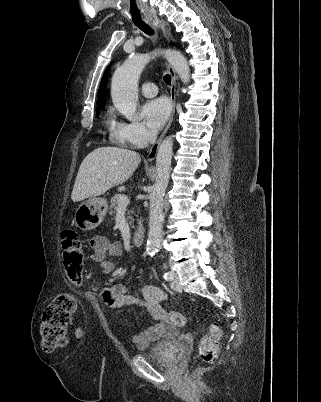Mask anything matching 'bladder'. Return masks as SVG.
Segmentation results:
<instances>
[{
	"instance_id": "bladder-1",
	"label": "bladder",
	"mask_w": 321,
	"mask_h": 402,
	"mask_svg": "<svg viewBox=\"0 0 321 402\" xmlns=\"http://www.w3.org/2000/svg\"><path fill=\"white\" fill-rule=\"evenodd\" d=\"M179 336L175 335L171 340H165L157 343L148 351H143L140 356L148 360H154L164 366H173L179 360V354L175 341Z\"/></svg>"
}]
</instances>
